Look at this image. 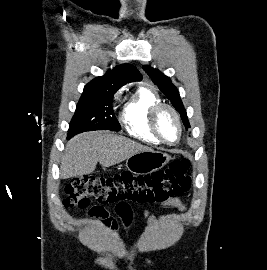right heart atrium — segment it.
<instances>
[{"instance_id":"right-heart-atrium-1","label":"right heart atrium","mask_w":267,"mask_h":270,"mask_svg":"<svg viewBox=\"0 0 267 270\" xmlns=\"http://www.w3.org/2000/svg\"><path fill=\"white\" fill-rule=\"evenodd\" d=\"M121 93H122V90H119V91L116 93V95L114 96V100H115V101L119 99V96H120Z\"/></svg>"}]
</instances>
